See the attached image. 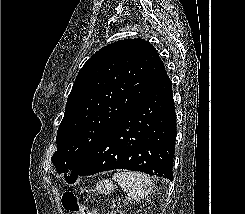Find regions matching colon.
<instances>
[{
  "instance_id": "obj_1",
  "label": "colon",
  "mask_w": 245,
  "mask_h": 214,
  "mask_svg": "<svg viewBox=\"0 0 245 214\" xmlns=\"http://www.w3.org/2000/svg\"><path fill=\"white\" fill-rule=\"evenodd\" d=\"M62 205L65 210L75 214H98L94 210H90L83 206L73 192L67 191L62 197ZM109 214H123L119 210L111 211Z\"/></svg>"
}]
</instances>
